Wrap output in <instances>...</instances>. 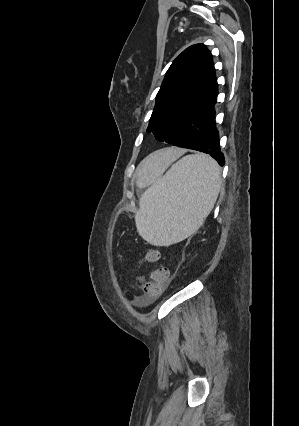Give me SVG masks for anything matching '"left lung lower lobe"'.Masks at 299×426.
Returning a JSON list of instances; mask_svg holds the SVG:
<instances>
[{
	"mask_svg": "<svg viewBox=\"0 0 299 426\" xmlns=\"http://www.w3.org/2000/svg\"><path fill=\"white\" fill-rule=\"evenodd\" d=\"M216 102L217 94L190 118L170 144L209 153L223 166L225 160L220 151L219 135L215 128Z\"/></svg>",
	"mask_w": 299,
	"mask_h": 426,
	"instance_id": "left-lung-lower-lobe-1",
	"label": "left lung lower lobe"
}]
</instances>
